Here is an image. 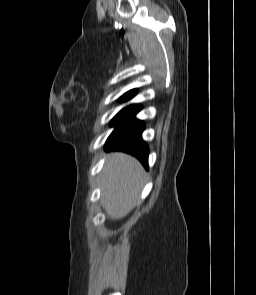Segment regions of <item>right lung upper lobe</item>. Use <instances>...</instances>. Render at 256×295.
<instances>
[{
	"mask_svg": "<svg viewBox=\"0 0 256 295\" xmlns=\"http://www.w3.org/2000/svg\"><path fill=\"white\" fill-rule=\"evenodd\" d=\"M136 93V89L130 90L127 93H125L120 99L121 100H127L130 99L131 97L134 96V94Z\"/></svg>",
	"mask_w": 256,
	"mask_h": 295,
	"instance_id": "1",
	"label": "right lung upper lobe"
}]
</instances>
